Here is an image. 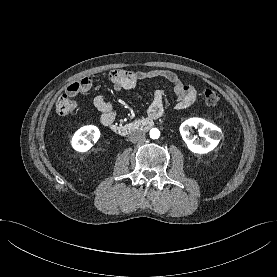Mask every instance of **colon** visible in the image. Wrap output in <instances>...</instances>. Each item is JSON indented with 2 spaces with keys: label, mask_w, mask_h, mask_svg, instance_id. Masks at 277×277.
<instances>
[{
  "label": "colon",
  "mask_w": 277,
  "mask_h": 277,
  "mask_svg": "<svg viewBox=\"0 0 277 277\" xmlns=\"http://www.w3.org/2000/svg\"><path fill=\"white\" fill-rule=\"evenodd\" d=\"M71 92L60 96L56 102V111L59 115L66 116L74 112L77 108L73 97L76 94L82 93L86 90V83L83 81L76 82L71 88ZM220 100V95L213 89H206L204 91V101L209 106L216 105Z\"/></svg>",
  "instance_id": "1"
}]
</instances>
